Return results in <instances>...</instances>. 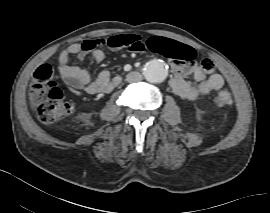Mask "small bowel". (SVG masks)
<instances>
[{
    "label": "small bowel",
    "mask_w": 270,
    "mask_h": 213,
    "mask_svg": "<svg viewBox=\"0 0 270 213\" xmlns=\"http://www.w3.org/2000/svg\"><path fill=\"white\" fill-rule=\"evenodd\" d=\"M125 35H115L109 38L91 40L87 39L79 44H71L64 48L59 55V71L68 86V89L74 95H78L80 90L88 94L106 93L119 85L120 76H111L108 70H102L95 79L91 74L81 67L80 63L88 54L92 56V63L95 67L104 59L106 52L120 51L129 49L133 53L143 50V47L136 42L135 48ZM164 43H171L177 46L174 52H167L171 61V68L174 76L171 80V86L175 93L181 98L194 100L198 97L206 96L212 91L219 90L225 83L222 74L213 71L207 72L201 66L193 65L197 57L196 51L187 45L172 41L161 40ZM146 48L155 50L156 48L148 43ZM76 56L78 64H71L70 60ZM187 76H192L197 82L193 85L185 80Z\"/></svg>",
    "instance_id": "obj_1"
}]
</instances>
